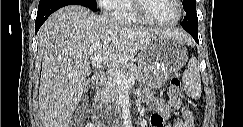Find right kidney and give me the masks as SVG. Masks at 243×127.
Segmentation results:
<instances>
[{
  "label": "right kidney",
  "mask_w": 243,
  "mask_h": 127,
  "mask_svg": "<svg viewBox=\"0 0 243 127\" xmlns=\"http://www.w3.org/2000/svg\"><path fill=\"white\" fill-rule=\"evenodd\" d=\"M86 127H94L93 123H87Z\"/></svg>",
  "instance_id": "obj_1"
}]
</instances>
